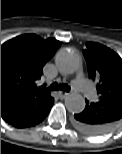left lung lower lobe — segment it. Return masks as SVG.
Segmentation results:
<instances>
[{"mask_svg": "<svg viewBox=\"0 0 122 154\" xmlns=\"http://www.w3.org/2000/svg\"><path fill=\"white\" fill-rule=\"evenodd\" d=\"M86 101L85 109L74 115V126L89 135L109 131L122 118V99H101L96 103Z\"/></svg>", "mask_w": 122, "mask_h": 154, "instance_id": "left-lung-lower-lobe-1", "label": "left lung lower lobe"}]
</instances>
